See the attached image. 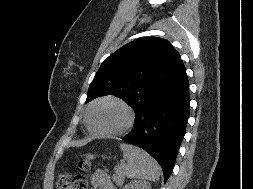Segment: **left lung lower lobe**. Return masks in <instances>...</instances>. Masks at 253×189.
<instances>
[{
    "label": "left lung lower lobe",
    "instance_id": "1",
    "mask_svg": "<svg viewBox=\"0 0 253 189\" xmlns=\"http://www.w3.org/2000/svg\"><path fill=\"white\" fill-rule=\"evenodd\" d=\"M189 82L185 68L176 79L137 113L123 140L146 150L169 178L189 118Z\"/></svg>",
    "mask_w": 253,
    "mask_h": 189
}]
</instances>
